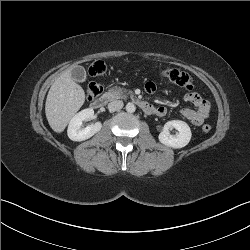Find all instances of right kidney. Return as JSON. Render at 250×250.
Instances as JSON below:
<instances>
[{
  "label": "right kidney",
  "mask_w": 250,
  "mask_h": 250,
  "mask_svg": "<svg viewBox=\"0 0 250 250\" xmlns=\"http://www.w3.org/2000/svg\"><path fill=\"white\" fill-rule=\"evenodd\" d=\"M93 116L94 110L92 108L84 109L75 114L68 125V137L73 141H84L98 133L102 128V124L100 122L88 125L86 128H81L83 121L90 119Z\"/></svg>",
  "instance_id": "1"
}]
</instances>
